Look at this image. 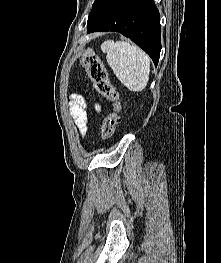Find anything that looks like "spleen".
<instances>
[{"instance_id": "3e777b00", "label": "spleen", "mask_w": 221, "mask_h": 263, "mask_svg": "<svg viewBox=\"0 0 221 263\" xmlns=\"http://www.w3.org/2000/svg\"><path fill=\"white\" fill-rule=\"evenodd\" d=\"M101 50L106 53L108 65L120 82L130 91L139 92L147 86L150 58L136 45L125 41L107 40Z\"/></svg>"}]
</instances>
